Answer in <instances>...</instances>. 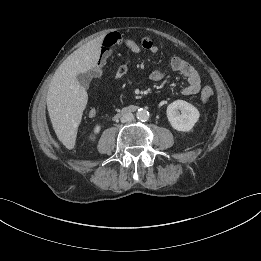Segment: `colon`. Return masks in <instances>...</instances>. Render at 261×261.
<instances>
[{
    "label": "colon",
    "instance_id": "obj_1",
    "mask_svg": "<svg viewBox=\"0 0 261 261\" xmlns=\"http://www.w3.org/2000/svg\"><path fill=\"white\" fill-rule=\"evenodd\" d=\"M214 92H213V89L209 86H206L202 89L201 91V95H200V98H201V101L203 103H207L213 96Z\"/></svg>",
    "mask_w": 261,
    "mask_h": 261
}]
</instances>
